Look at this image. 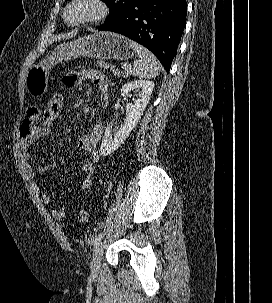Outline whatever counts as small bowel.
Wrapping results in <instances>:
<instances>
[{
	"label": "small bowel",
	"mask_w": 272,
	"mask_h": 303,
	"mask_svg": "<svg viewBox=\"0 0 272 303\" xmlns=\"http://www.w3.org/2000/svg\"><path fill=\"white\" fill-rule=\"evenodd\" d=\"M86 80L92 82L98 88L100 102L103 107H106L108 104L109 86L107 78L102 72L96 69H84L70 72L64 77V83L68 86H76ZM39 122V107L37 105H30L20 125V158L34 191L39 194L41 202L48 205L52 201V196L49 193H40L38 177L44 175L48 169L58 170V164L55 161H51L48 166L43 165L38 169H34L31 165L33 144L40 138L50 134L41 130ZM102 132L103 123L98 121L88 133L82 135L78 140V148L90 158L89 161L82 165L84 174V178L80 184L82 190H88L94 183L96 163L100 159L97 143L102 136ZM65 211V207L60 206L52 210V215L56 219H62L65 217Z\"/></svg>",
	"instance_id": "c3829d8e"
}]
</instances>
